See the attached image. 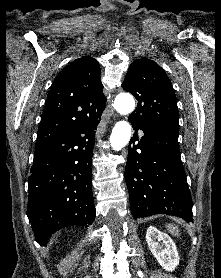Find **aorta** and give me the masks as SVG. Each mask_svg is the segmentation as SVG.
Returning a JSON list of instances; mask_svg holds the SVG:
<instances>
[{
  "instance_id": "762f6f07",
  "label": "aorta",
  "mask_w": 221,
  "mask_h": 278,
  "mask_svg": "<svg viewBox=\"0 0 221 278\" xmlns=\"http://www.w3.org/2000/svg\"><path fill=\"white\" fill-rule=\"evenodd\" d=\"M114 107L122 115L130 114L135 108V101L130 94L121 93L115 101ZM131 125L127 121H119L115 124L111 136L110 144L114 150H121L131 138Z\"/></svg>"
}]
</instances>
